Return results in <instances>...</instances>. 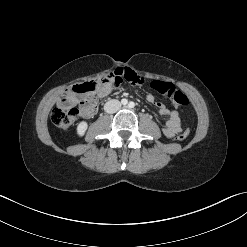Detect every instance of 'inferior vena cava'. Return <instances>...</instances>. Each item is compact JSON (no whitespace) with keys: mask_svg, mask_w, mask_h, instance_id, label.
<instances>
[{"mask_svg":"<svg viewBox=\"0 0 247 247\" xmlns=\"http://www.w3.org/2000/svg\"><path fill=\"white\" fill-rule=\"evenodd\" d=\"M120 108H121V103L116 99H112L106 102L104 105L105 112L109 114L117 112Z\"/></svg>","mask_w":247,"mask_h":247,"instance_id":"1","label":"inferior vena cava"}]
</instances>
